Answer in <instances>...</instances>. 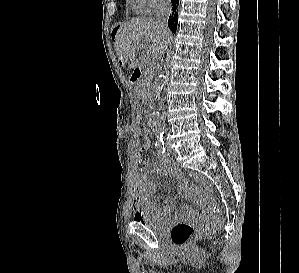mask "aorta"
Instances as JSON below:
<instances>
[{"instance_id":"obj_1","label":"aorta","mask_w":299,"mask_h":273,"mask_svg":"<svg viewBox=\"0 0 299 273\" xmlns=\"http://www.w3.org/2000/svg\"><path fill=\"white\" fill-rule=\"evenodd\" d=\"M164 81H165V77L163 75H160L156 79L157 86L161 87ZM148 125L152 129V131L157 135V137L162 138V134L164 132V123L158 112L149 113Z\"/></svg>"}]
</instances>
